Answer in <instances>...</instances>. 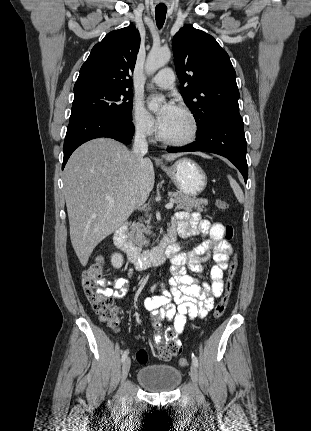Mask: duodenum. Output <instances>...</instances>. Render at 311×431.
I'll list each match as a JSON object with an SVG mask.
<instances>
[{"instance_id":"obj_1","label":"duodenum","mask_w":311,"mask_h":431,"mask_svg":"<svg viewBox=\"0 0 311 431\" xmlns=\"http://www.w3.org/2000/svg\"><path fill=\"white\" fill-rule=\"evenodd\" d=\"M114 244L125 253L137 267L158 264L170 258L174 251L176 232L169 230L167 236L154 248L142 249L127 238V225L122 224L114 233Z\"/></svg>"}]
</instances>
